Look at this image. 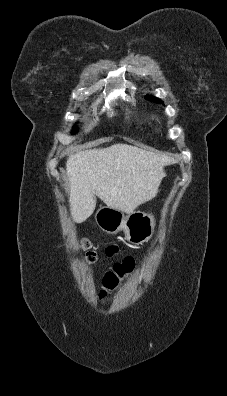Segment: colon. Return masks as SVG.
Listing matches in <instances>:
<instances>
[{"label": "colon", "instance_id": "colon-1", "mask_svg": "<svg viewBox=\"0 0 227 396\" xmlns=\"http://www.w3.org/2000/svg\"><path fill=\"white\" fill-rule=\"evenodd\" d=\"M82 249L84 251L85 262L89 265L94 263L96 254L91 249L88 241H83ZM135 267L136 261L132 257H125L123 260L116 262L104 275L100 297L105 298L109 293L116 290L121 285L125 276L131 273Z\"/></svg>", "mask_w": 227, "mask_h": 396}]
</instances>
